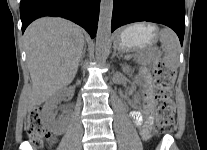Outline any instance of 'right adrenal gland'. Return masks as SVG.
<instances>
[{"label": "right adrenal gland", "mask_w": 207, "mask_h": 150, "mask_svg": "<svg viewBox=\"0 0 207 150\" xmlns=\"http://www.w3.org/2000/svg\"><path fill=\"white\" fill-rule=\"evenodd\" d=\"M84 55H85V47L83 48V51H82V54H81L79 62H82Z\"/></svg>", "instance_id": "1"}]
</instances>
